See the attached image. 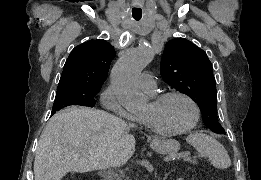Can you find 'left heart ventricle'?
Here are the masks:
<instances>
[{
    "mask_svg": "<svg viewBox=\"0 0 261 180\" xmlns=\"http://www.w3.org/2000/svg\"><path fill=\"white\" fill-rule=\"evenodd\" d=\"M145 95V94H144ZM146 96V95H145ZM147 104L135 116L158 136L176 134L184 130L192 118L190 104L179 96L169 97L153 103L146 96Z\"/></svg>",
    "mask_w": 261,
    "mask_h": 180,
    "instance_id": "b2bd125f",
    "label": "left heart ventricle"
}]
</instances>
